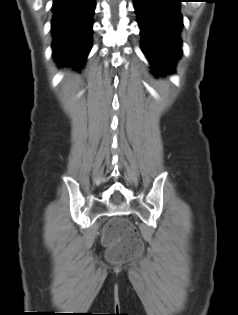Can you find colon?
<instances>
[{"mask_svg": "<svg viewBox=\"0 0 238 315\" xmlns=\"http://www.w3.org/2000/svg\"><path fill=\"white\" fill-rule=\"evenodd\" d=\"M103 242L110 247V258L123 261L141 252L142 243L136 227L124 218H114L105 226Z\"/></svg>", "mask_w": 238, "mask_h": 315, "instance_id": "5ec220e1", "label": "colon"}]
</instances>
